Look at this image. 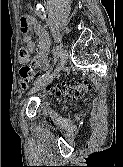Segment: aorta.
Listing matches in <instances>:
<instances>
[{
    "label": "aorta",
    "instance_id": "762f6f07",
    "mask_svg": "<svg viewBox=\"0 0 123 167\" xmlns=\"http://www.w3.org/2000/svg\"><path fill=\"white\" fill-rule=\"evenodd\" d=\"M36 12L41 17V19H45V17H46L45 12H44V9L41 5H39V4L37 5Z\"/></svg>",
    "mask_w": 123,
    "mask_h": 167
}]
</instances>
